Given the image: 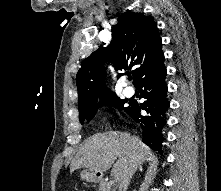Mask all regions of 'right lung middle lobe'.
Here are the masks:
<instances>
[{
	"label": "right lung middle lobe",
	"instance_id": "1",
	"mask_svg": "<svg viewBox=\"0 0 221 191\" xmlns=\"http://www.w3.org/2000/svg\"><path fill=\"white\" fill-rule=\"evenodd\" d=\"M126 103H127L126 100H121L117 96L109 98V99L99 103L95 107H93L83 113H79L80 122H81V124H83L86 120L92 119L96 113V108L98 106H112L115 108H121L127 112L130 107V104H129V106H125Z\"/></svg>",
	"mask_w": 221,
	"mask_h": 191
}]
</instances>
